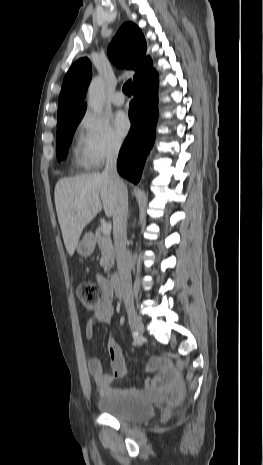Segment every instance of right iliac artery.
Segmentation results:
<instances>
[{
	"instance_id": "1",
	"label": "right iliac artery",
	"mask_w": 263,
	"mask_h": 465,
	"mask_svg": "<svg viewBox=\"0 0 263 465\" xmlns=\"http://www.w3.org/2000/svg\"><path fill=\"white\" fill-rule=\"evenodd\" d=\"M132 336L137 345H142L143 338L136 331L132 332Z\"/></svg>"
}]
</instances>
